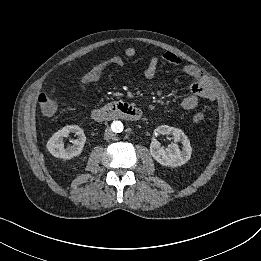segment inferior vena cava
Listing matches in <instances>:
<instances>
[{
    "mask_svg": "<svg viewBox=\"0 0 261 261\" xmlns=\"http://www.w3.org/2000/svg\"><path fill=\"white\" fill-rule=\"evenodd\" d=\"M113 137H114L113 131L110 128H106L105 133H104V138L106 140H108V139H111Z\"/></svg>",
    "mask_w": 261,
    "mask_h": 261,
    "instance_id": "1",
    "label": "inferior vena cava"
}]
</instances>
